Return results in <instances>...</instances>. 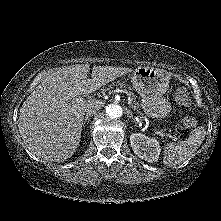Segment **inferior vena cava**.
Masks as SVG:
<instances>
[{
  "label": "inferior vena cava",
  "mask_w": 221,
  "mask_h": 221,
  "mask_svg": "<svg viewBox=\"0 0 221 221\" xmlns=\"http://www.w3.org/2000/svg\"><path fill=\"white\" fill-rule=\"evenodd\" d=\"M101 108V103L100 102H96L94 104H90L86 109H85V113L87 116H91L93 114H95L97 111H99Z\"/></svg>",
  "instance_id": "1"
}]
</instances>
